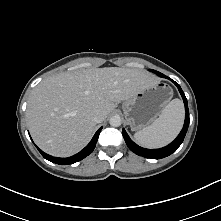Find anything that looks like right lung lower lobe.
Listing matches in <instances>:
<instances>
[{"mask_svg": "<svg viewBox=\"0 0 221 221\" xmlns=\"http://www.w3.org/2000/svg\"><path fill=\"white\" fill-rule=\"evenodd\" d=\"M101 129H102V127L97 130V132L93 136V138L90 141V143L84 149H82L79 153H77V154H75V155H73L71 157H67V158L53 157V156H50V155L44 153L38 147H37V149L39 150V152L42 154V156L45 159H47V160H49V161H51L53 163H56V164H59V165L73 164L75 162H78V161L84 159L86 156H88L94 150Z\"/></svg>", "mask_w": 221, "mask_h": 221, "instance_id": "1", "label": "right lung lower lobe"}]
</instances>
